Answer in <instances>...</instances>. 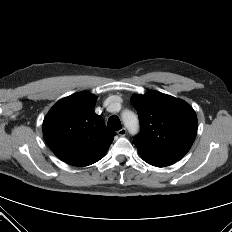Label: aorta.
I'll return each mask as SVG.
<instances>
[{
	"label": "aorta",
	"mask_w": 232,
	"mask_h": 232,
	"mask_svg": "<svg viewBox=\"0 0 232 232\" xmlns=\"http://www.w3.org/2000/svg\"><path fill=\"white\" fill-rule=\"evenodd\" d=\"M122 120L125 127L131 134H136L139 128V121L137 115L132 111H125L122 114Z\"/></svg>",
	"instance_id": "762f6f07"
}]
</instances>
